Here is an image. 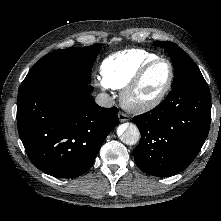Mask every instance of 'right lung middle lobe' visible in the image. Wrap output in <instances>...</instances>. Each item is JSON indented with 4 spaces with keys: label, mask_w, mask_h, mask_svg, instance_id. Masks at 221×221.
Instances as JSON below:
<instances>
[{
    "label": "right lung middle lobe",
    "mask_w": 221,
    "mask_h": 221,
    "mask_svg": "<svg viewBox=\"0 0 221 221\" xmlns=\"http://www.w3.org/2000/svg\"><path fill=\"white\" fill-rule=\"evenodd\" d=\"M101 44L53 51L29 71L19 92L51 85L90 84L91 70Z\"/></svg>",
    "instance_id": "right-lung-middle-lobe-1"
}]
</instances>
